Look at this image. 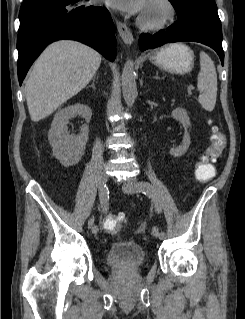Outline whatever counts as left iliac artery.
Instances as JSON below:
<instances>
[{
  "label": "left iliac artery",
  "instance_id": "left-iliac-artery-1",
  "mask_svg": "<svg viewBox=\"0 0 245 319\" xmlns=\"http://www.w3.org/2000/svg\"><path fill=\"white\" fill-rule=\"evenodd\" d=\"M136 190L139 192H142L143 194H145L146 196H148L151 199H155L156 198V192L154 187L148 183V182H138L135 186ZM156 211L159 213L161 211V208L159 206V204H156ZM159 231V230H158ZM163 238H165L166 234L165 232L161 231L159 233Z\"/></svg>",
  "mask_w": 245,
  "mask_h": 319
}]
</instances>
